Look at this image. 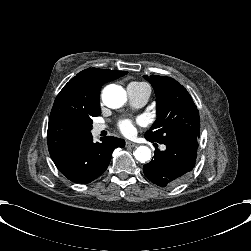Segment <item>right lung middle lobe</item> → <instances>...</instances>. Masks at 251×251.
<instances>
[{
	"mask_svg": "<svg viewBox=\"0 0 251 251\" xmlns=\"http://www.w3.org/2000/svg\"><path fill=\"white\" fill-rule=\"evenodd\" d=\"M92 128V121H90V124H89V129L91 130Z\"/></svg>",
	"mask_w": 251,
	"mask_h": 251,
	"instance_id": "dd1d6c3e",
	"label": "right lung middle lobe"
}]
</instances>
